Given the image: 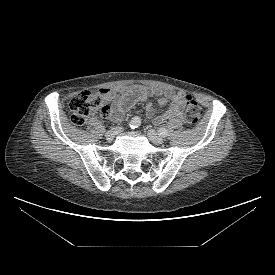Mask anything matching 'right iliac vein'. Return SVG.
<instances>
[{
	"mask_svg": "<svg viewBox=\"0 0 275 275\" xmlns=\"http://www.w3.org/2000/svg\"><path fill=\"white\" fill-rule=\"evenodd\" d=\"M120 132L121 128H113L106 132L105 137L108 141H112Z\"/></svg>",
	"mask_w": 275,
	"mask_h": 275,
	"instance_id": "63e3f726",
	"label": "right iliac vein"
}]
</instances>
